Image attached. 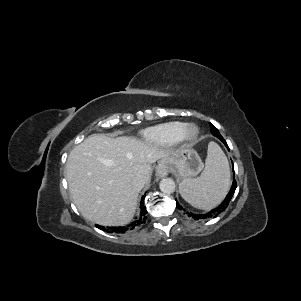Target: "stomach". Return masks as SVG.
Here are the masks:
<instances>
[{
	"instance_id": "1",
	"label": "stomach",
	"mask_w": 301,
	"mask_h": 301,
	"mask_svg": "<svg viewBox=\"0 0 301 301\" xmlns=\"http://www.w3.org/2000/svg\"><path fill=\"white\" fill-rule=\"evenodd\" d=\"M161 163L181 178H192L202 169V160L198 153L188 147H183L171 153L169 157L161 160Z\"/></svg>"
}]
</instances>
